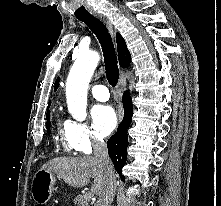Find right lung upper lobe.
Returning a JSON list of instances; mask_svg holds the SVG:
<instances>
[{
  "label": "right lung upper lobe",
  "instance_id": "cb5924a9",
  "mask_svg": "<svg viewBox=\"0 0 221 206\" xmlns=\"http://www.w3.org/2000/svg\"><path fill=\"white\" fill-rule=\"evenodd\" d=\"M116 40H117V49H118V57H119V63L121 67H128L130 65L131 55L130 52L127 49L125 40L122 38L120 34H116ZM59 78H57V81L55 83V90L58 88ZM49 112V110H48Z\"/></svg>",
  "mask_w": 221,
  "mask_h": 206
}]
</instances>
